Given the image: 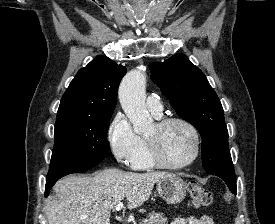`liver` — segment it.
<instances>
[{
    "mask_svg": "<svg viewBox=\"0 0 275 224\" xmlns=\"http://www.w3.org/2000/svg\"><path fill=\"white\" fill-rule=\"evenodd\" d=\"M166 172H124L106 169L94 175H70L57 181L54 196L46 200L49 224H110V213L127 200L128 209L140 207L152 193L154 184Z\"/></svg>",
    "mask_w": 275,
    "mask_h": 224,
    "instance_id": "1",
    "label": "liver"
}]
</instances>
